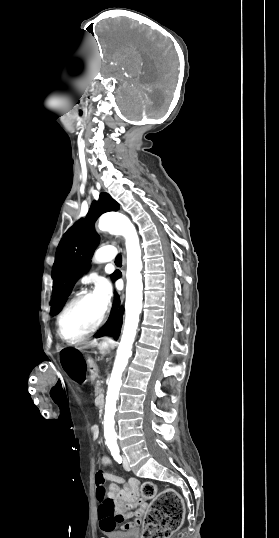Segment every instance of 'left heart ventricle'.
<instances>
[{
	"label": "left heart ventricle",
	"instance_id": "left-heart-ventricle-1",
	"mask_svg": "<svg viewBox=\"0 0 279 538\" xmlns=\"http://www.w3.org/2000/svg\"><path fill=\"white\" fill-rule=\"evenodd\" d=\"M103 307L96 295L74 304L62 320L63 336L73 341L90 330L99 318Z\"/></svg>",
	"mask_w": 279,
	"mask_h": 538
}]
</instances>
